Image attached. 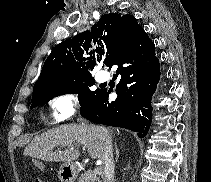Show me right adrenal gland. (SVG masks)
Here are the masks:
<instances>
[{
	"label": "right adrenal gland",
	"instance_id": "1",
	"mask_svg": "<svg viewBox=\"0 0 211 182\" xmlns=\"http://www.w3.org/2000/svg\"><path fill=\"white\" fill-rule=\"evenodd\" d=\"M115 151H116V160H117L119 156V149L117 148L116 144H115Z\"/></svg>",
	"mask_w": 211,
	"mask_h": 182
}]
</instances>
